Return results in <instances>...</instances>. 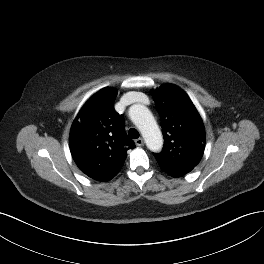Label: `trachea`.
I'll return each mask as SVG.
<instances>
[{
  "instance_id": "obj_1",
  "label": "trachea",
  "mask_w": 264,
  "mask_h": 264,
  "mask_svg": "<svg viewBox=\"0 0 264 264\" xmlns=\"http://www.w3.org/2000/svg\"><path fill=\"white\" fill-rule=\"evenodd\" d=\"M128 134L131 139H137L139 137V132L135 128H130Z\"/></svg>"
}]
</instances>
